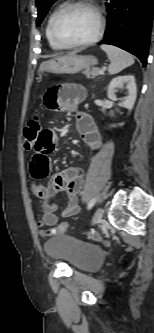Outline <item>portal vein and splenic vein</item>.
I'll list each match as a JSON object with an SVG mask.
<instances>
[{"label":"portal vein and splenic vein","instance_id":"obj_1","mask_svg":"<svg viewBox=\"0 0 154 333\" xmlns=\"http://www.w3.org/2000/svg\"><path fill=\"white\" fill-rule=\"evenodd\" d=\"M104 70H105V69H101V70L99 71V73H100V74H103V73H104Z\"/></svg>","mask_w":154,"mask_h":333}]
</instances>
